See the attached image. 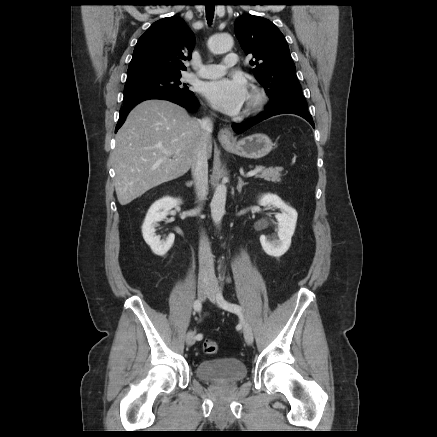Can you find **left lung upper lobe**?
<instances>
[{
    "label": "left lung upper lobe",
    "mask_w": 437,
    "mask_h": 437,
    "mask_svg": "<svg viewBox=\"0 0 437 437\" xmlns=\"http://www.w3.org/2000/svg\"><path fill=\"white\" fill-rule=\"evenodd\" d=\"M242 49L252 54L254 75L270 97L268 108L294 106L307 109L289 47L281 31L268 19L245 14L235 21Z\"/></svg>",
    "instance_id": "5c2ea615"
}]
</instances>
